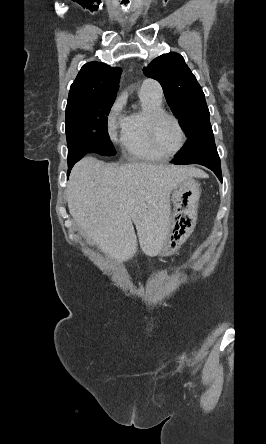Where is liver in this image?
<instances>
[{
    "label": "liver",
    "instance_id": "6515ba94",
    "mask_svg": "<svg viewBox=\"0 0 266 444\" xmlns=\"http://www.w3.org/2000/svg\"><path fill=\"white\" fill-rule=\"evenodd\" d=\"M199 169L133 163L115 166L85 157L71 171L68 209L87 240L122 263L142 251L160 253L168 234L170 194Z\"/></svg>",
    "mask_w": 266,
    "mask_h": 444
}]
</instances>
